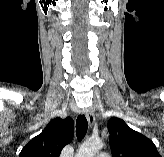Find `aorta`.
<instances>
[{"instance_id": "obj_1", "label": "aorta", "mask_w": 164, "mask_h": 157, "mask_svg": "<svg viewBox=\"0 0 164 157\" xmlns=\"http://www.w3.org/2000/svg\"><path fill=\"white\" fill-rule=\"evenodd\" d=\"M102 147L103 144L99 140L86 141L80 146L76 157H94Z\"/></svg>"}]
</instances>
